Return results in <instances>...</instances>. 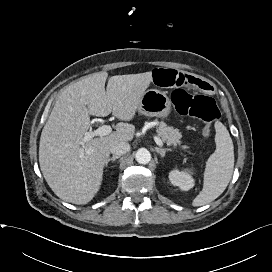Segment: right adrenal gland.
Listing matches in <instances>:
<instances>
[{
  "label": "right adrenal gland",
  "instance_id": "right-adrenal-gland-1",
  "mask_svg": "<svg viewBox=\"0 0 272 272\" xmlns=\"http://www.w3.org/2000/svg\"><path fill=\"white\" fill-rule=\"evenodd\" d=\"M119 158H120V156H113V157L109 158L106 161L105 166L107 167L110 162L114 163V161L117 160V159H119Z\"/></svg>",
  "mask_w": 272,
  "mask_h": 272
}]
</instances>
